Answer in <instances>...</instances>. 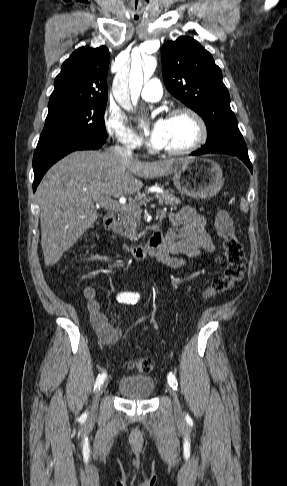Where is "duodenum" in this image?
<instances>
[{
	"mask_svg": "<svg viewBox=\"0 0 287 486\" xmlns=\"http://www.w3.org/2000/svg\"><path fill=\"white\" fill-rule=\"evenodd\" d=\"M104 228L112 233H116V218L113 213H108L103 220ZM163 243V233L160 225L155 229L150 236L146 244L131 245L128 243H122V249L130 253L134 258L138 260L145 259L149 256L155 255L161 248Z\"/></svg>",
	"mask_w": 287,
	"mask_h": 486,
	"instance_id": "1",
	"label": "duodenum"
}]
</instances>
